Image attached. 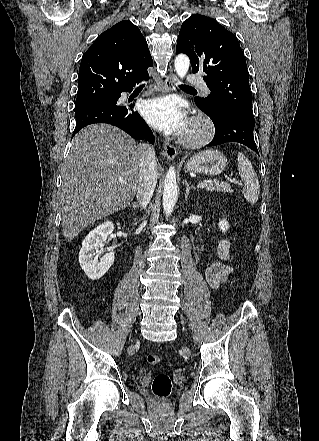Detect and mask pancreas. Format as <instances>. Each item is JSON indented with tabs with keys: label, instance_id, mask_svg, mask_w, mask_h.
Masks as SVG:
<instances>
[{
	"label": "pancreas",
	"instance_id": "cf45deb5",
	"mask_svg": "<svg viewBox=\"0 0 319 441\" xmlns=\"http://www.w3.org/2000/svg\"><path fill=\"white\" fill-rule=\"evenodd\" d=\"M207 191H217V192H224V193H232L233 189L230 184L227 182H217V181H211L209 182V185L206 187Z\"/></svg>",
	"mask_w": 319,
	"mask_h": 441
}]
</instances>
